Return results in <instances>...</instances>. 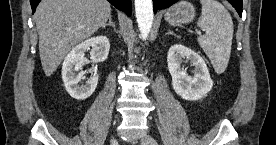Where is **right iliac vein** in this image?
<instances>
[{"label": "right iliac vein", "instance_id": "63e3f726", "mask_svg": "<svg viewBox=\"0 0 276 145\" xmlns=\"http://www.w3.org/2000/svg\"><path fill=\"white\" fill-rule=\"evenodd\" d=\"M110 144L111 145H116L117 144V140H116V138L114 136L111 137Z\"/></svg>", "mask_w": 276, "mask_h": 145}]
</instances>
